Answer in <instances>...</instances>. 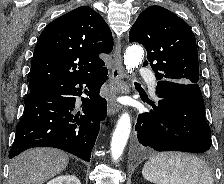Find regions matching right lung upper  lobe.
<instances>
[{
    "label": "right lung upper lobe",
    "mask_w": 224,
    "mask_h": 184,
    "mask_svg": "<svg viewBox=\"0 0 224 184\" xmlns=\"http://www.w3.org/2000/svg\"><path fill=\"white\" fill-rule=\"evenodd\" d=\"M113 39L100 14L78 7L49 23L34 50L30 89L93 75L104 68L100 53H110Z\"/></svg>",
    "instance_id": "right-lung-upper-lobe-1"
}]
</instances>
